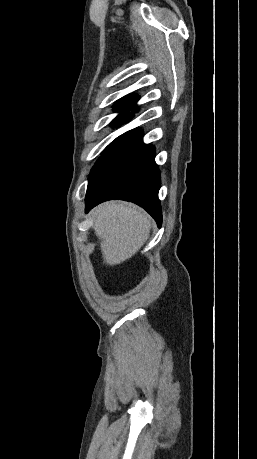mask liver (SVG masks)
Returning a JSON list of instances; mask_svg holds the SVG:
<instances>
[{
	"mask_svg": "<svg viewBox=\"0 0 257 459\" xmlns=\"http://www.w3.org/2000/svg\"><path fill=\"white\" fill-rule=\"evenodd\" d=\"M104 263L117 265L135 255L149 237L148 215L127 203L106 202L92 211Z\"/></svg>",
	"mask_w": 257,
	"mask_h": 459,
	"instance_id": "1",
	"label": "liver"
}]
</instances>
